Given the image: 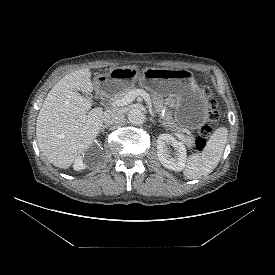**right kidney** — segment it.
<instances>
[{
  "label": "right kidney",
  "mask_w": 275,
  "mask_h": 275,
  "mask_svg": "<svg viewBox=\"0 0 275 275\" xmlns=\"http://www.w3.org/2000/svg\"><path fill=\"white\" fill-rule=\"evenodd\" d=\"M74 170L80 171L82 169L86 168V165L83 162L82 156H79L75 159L74 165H73Z\"/></svg>",
  "instance_id": "obj_1"
}]
</instances>
